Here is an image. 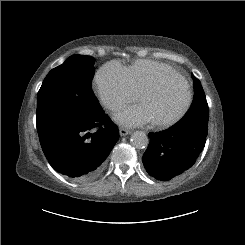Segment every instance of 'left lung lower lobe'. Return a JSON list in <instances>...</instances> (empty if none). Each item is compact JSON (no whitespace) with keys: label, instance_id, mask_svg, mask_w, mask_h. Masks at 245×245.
<instances>
[{"label":"left lung lower lobe","instance_id":"0a47b994","mask_svg":"<svg viewBox=\"0 0 245 245\" xmlns=\"http://www.w3.org/2000/svg\"><path fill=\"white\" fill-rule=\"evenodd\" d=\"M207 134L193 129L169 128L149 133L150 143L143 155L147 172L168 181L191 168L201 154Z\"/></svg>","mask_w":245,"mask_h":245}]
</instances>
